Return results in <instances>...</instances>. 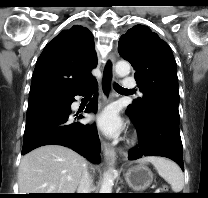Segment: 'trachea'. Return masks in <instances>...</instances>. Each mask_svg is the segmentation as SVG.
<instances>
[{
    "label": "trachea",
    "mask_w": 208,
    "mask_h": 198,
    "mask_svg": "<svg viewBox=\"0 0 208 198\" xmlns=\"http://www.w3.org/2000/svg\"><path fill=\"white\" fill-rule=\"evenodd\" d=\"M114 88L117 91H126V90H128V89H125V88L121 87L119 84H115Z\"/></svg>",
    "instance_id": "3493384b"
}]
</instances>
